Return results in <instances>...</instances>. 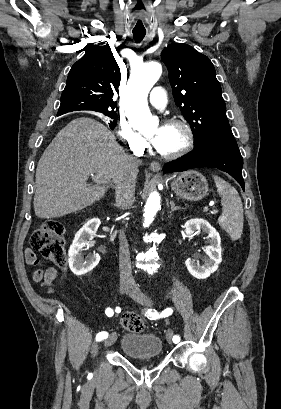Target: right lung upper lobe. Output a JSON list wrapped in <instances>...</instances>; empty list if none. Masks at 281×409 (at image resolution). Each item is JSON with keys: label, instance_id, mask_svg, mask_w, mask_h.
Listing matches in <instances>:
<instances>
[{"label": "right lung upper lobe", "instance_id": "obj_1", "mask_svg": "<svg viewBox=\"0 0 281 409\" xmlns=\"http://www.w3.org/2000/svg\"><path fill=\"white\" fill-rule=\"evenodd\" d=\"M120 78V68L108 45L92 48L72 66L57 116L80 110L114 111L112 97L118 92Z\"/></svg>", "mask_w": 281, "mask_h": 409}]
</instances>
